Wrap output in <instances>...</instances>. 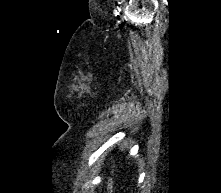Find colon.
I'll use <instances>...</instances> for the list:
<instances>
[{
	"mask_svg": "<svg viewBox=\"0 0 221 193\" xmlns=\"http://www.w3.org/2000/svg\"><path fill=\"white\" fill-rule=\"evenodd\" d=\"M114 170H115V165L113 164V165L111 166L110 177H109V179H108V186H107L108 193H111L112 190H113V180H112V175H113Z\"/></svg>",
	"mask_w": 221,
	"mask_h": 193,
	"instance_id": "colon-1",
	"label": "colon"
}]
</instances>
